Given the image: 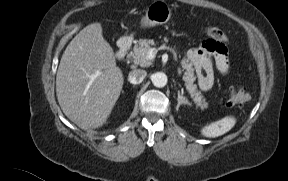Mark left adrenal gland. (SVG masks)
Returning a JSON list of instances; mask_svg holds the SVG:
<instances>
[{"label":"left adrenal gland","mask_w":288,"mask_h":181,"mask_svg":"<svg viewBox=\"0 0 288 181\" xmlns=\"http://www.w3.org/2000/svg\"><path fill=\"white\" fill-rule=\"evenodd\" d=\"M178 104H177V108L180 107V105H189L191 106V103L187 100L186 97L183 96V91L180 94V92H178V98H177Z\"/></svg>","instance_id":"1"}]
</instances>
